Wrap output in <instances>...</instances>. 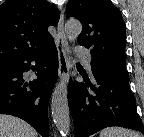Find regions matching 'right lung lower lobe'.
<instances>
[{"mask_svg": "<svg viewBox=\"0 0 144 137\" xmlns=\"http://www.w3.org/2000/svg\"><path fill=\"white\" fill-rule=\"evenodd\" d=\"M31 62L36 65L30 66ZM58 52L54 40L32 51L0 71V114H10L28 122L48 137V103L57 79ZM32 69L37 79L27 81L23 74Z\"/></svg>", "mask_w": 144, "mask_h": 137, "instance_id": "obj_1", "label": "right lung lower lobe"}]
</instances>
